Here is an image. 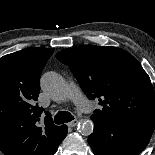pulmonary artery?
Returning <instances> with one entry per match:
<instances>
[{
	"mask_svg": "<svg viewBox=\"0 0 155 155\" xmlns=\"http://www.w3.org/2000/svg\"><path fill=\"white\" fill-rule=\"evenodd\" d=\"M70 88V96L74 100L75 105L77 108L84 113H88L92 110V104L91 102L83 95V93L80 91L78 86L70 82L69 84Z\"/></svg>",
	"mask_w": 155,
	"mask_h": 155,
	"instance_id": "e3ab8cb5",
	"label": "pulmonary artery"
}]
</instances>
